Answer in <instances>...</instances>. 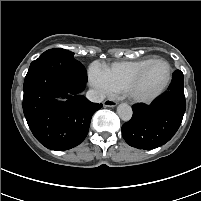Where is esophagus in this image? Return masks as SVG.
Wrapping results in <instances>:
<instances>
[{
    "instance_id": "34e87169",
    "label": "esophagus",
    "mask_w": 201,
    "mask_h": 201,
    "mask_svg": "<svg viewBox=\"0 0 201 201\" xmlns=\"http://www.w3.org/2000/svg\"><path fill=\"white\" fill-rule=\"evenodd\" d=\"M116 105H117V102L114 100H111V99H106L103 102V106H105V107H115Z\"/></svg>"
}]
</instances>
